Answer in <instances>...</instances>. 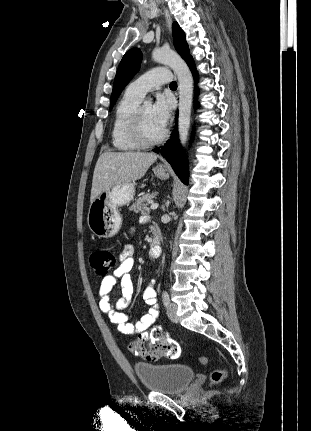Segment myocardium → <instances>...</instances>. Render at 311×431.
I'll return each mask as SVG.
<instances>
[{
	"label": "myocardium",
	"instance_id": "1",
	"mask_svg": "<svg viewBox=\"0 0 311 431\" xmlns=\"http://www.w3.org/2000/svg\"><path fill=\"white\" fill-rule=\"evenodd\" d=\"M130 133L132 139L141 147H151L160 144L167 136L164 130L162 135L157 139H148L144 128L143 105H139L135 110L130 124Z\"/></svg>",
	"mask_w": 311,
	"mask_h": 431
}]
</instances>
